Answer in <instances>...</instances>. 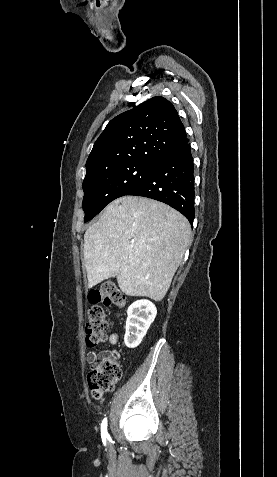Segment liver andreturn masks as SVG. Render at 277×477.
<instances>
[{
    "instance_id": "liver-1",
    "label": "liver",
    "mask_w": 277,
    "mask_h": 477,
    "mask_svg": "<svg viewBox=\"0 0 277 477\" xmlns=\"http://www.w3.org/2000/svg\"><path fill=\"white\" fill-rule=\"evenodd\" d=\"M191 239L188 220L162 202L124 196L84 234L88 287L112 277L128 296L161 301Z\"/></svg>"
}]
</instances>
